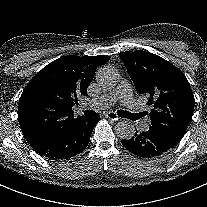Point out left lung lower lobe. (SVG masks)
Wrapping results in <instances>:
<instances>
[{"instance_id":"1","label":"left lung lower lobe","mask_w":207,"mask_h":207,"mask_svg":"<svg viewBox=\"0 0 207 207\" xmlns=\"http://www.w3.org/2000/svg\"><path fill=\"white\" fill-rule=\"evenodd\" d=\"M123 146L131 153L145 158L159 156L176 146L166 136L149 128L146 132H138L129 140H121Z\"/></svg>"}]
</instances>
